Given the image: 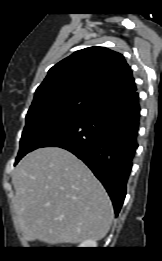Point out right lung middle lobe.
Wrapping results in <instances>:
<instances>
[{
  "label": "right lung middle lobe",
  "instance_id": "1",
  "mask_svg": "<svg viewBox=\"0 0 162 261\" xmlns=\"http://www.w3.org/2000/svg\"><path fill=\"white\" fill-rule=\"evenodd\" d=\"M100 104L101 102L79 92L34 99L26 116L16 161L34 150L52 131Z\"/></svg>",
  "mask_w": 162,
  "mask_h": 261
}]
</instances>
